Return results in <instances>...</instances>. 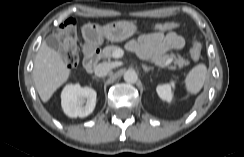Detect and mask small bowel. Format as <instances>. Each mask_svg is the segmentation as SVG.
<instances>
[{"label": "small bowel", "mask_w": 244, "mask_h": 157, "mask_svg": "<svg viewBox=\"0 0 244 157\" xmlns=\"http://www.w3.org/2000/svg\"><path fill=\"white\" fill-rule=\"evenodd\" d=\"M185 40L177 31L154 32L142 35L128 43V49L136 52L141 58H160L169 51L180 50Z\"/></svg>", "instance_id": "1"}]
</instances>
